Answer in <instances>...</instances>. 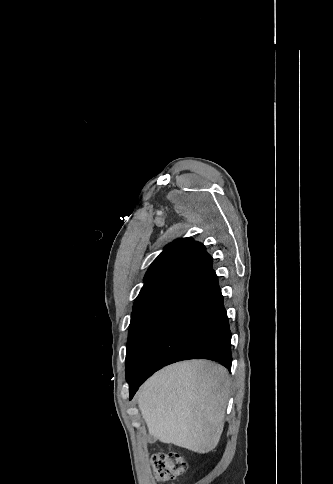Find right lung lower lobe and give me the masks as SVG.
<instances>
[{"label":"right lung lower lobe","instance_id":"1","mask_svg":"<svg viewBox=\"0 0 333 484\" xmlns=\"http://www.w3.org/2000/svg\"><path fill=\"white\" fill-rule=\"evenodd\" d=\"M193 358L217 361L231 369V332L212 269L166 296L154 310L128 381L130 399L163 366Z\"/></svg>","mask_w":333,"mask_h":484}]
</instances>
